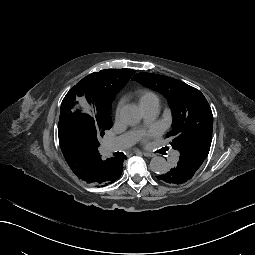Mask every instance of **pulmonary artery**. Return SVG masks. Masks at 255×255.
<instances>
[{
	"mask_svg": "<svg viewBox=\"0 0 255 255\" xmlns=\"http://www.w3.org/2000/svg\"><path fill=\"white\" fill-rule=\"evenodd\" d=\"M142 109H143L145 118L147 120H149V121L145 122L144 127H145V129L150 130L153 127V124H152V122H150V120H153L157 116V114L159 112V105L152 104L149 106H145ZM155 127H158V123H155ZM142 136H143V133L139 129L134 130L133 133L129 132V133L123 134L113 140L107 141L106 150L109 154H111L113 152L121 151V150L125 149L126 147L130 146L134 142L135 139L136 140L141 139ZM178 156H179V153L177 150H175V149L170 150L168 153L169 163L172 165L177 164L179 161Z\"/></svg>",
	"mask_w": 255,
	"mask_h": 255,
	"instance_id": "obj_1",
	"label": "pulmonary artery"
}]
</instances>
